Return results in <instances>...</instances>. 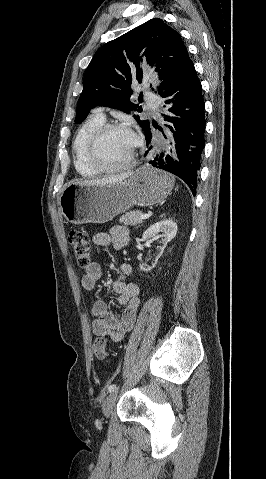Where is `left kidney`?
I'll return each mask as SVG.
<instances>
[{
	"label": "left kidney",
	"mask_w": 266,
	"mask_h": 479,
	"mask_svg": "<svg viewBox=\"0 0 266 479\" xmlns=\"http://www.w3.org/2000/svg\"><path fill=\"white\" fill-rule=\"evenodd\" d=\"M163 233L164 240H163V248L167 245L168 242H170L177 233V224L173 222L172 220H162L160 222H157L153 225H151L144 233L142 236L143 241L149 240L152 236H155L159 233ZM141 270H145L142 266H140ZM148 271V270H146Z\"/></svg>",
	"instance_id": "left-kidney-1"
}]
</instances>
